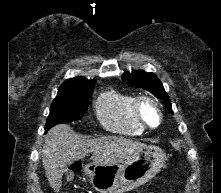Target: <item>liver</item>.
Masks as SVG:
<instances>
[{
  "instance_id": "6515ba94",
  "label": "liver",
  "mask_w": 221,
  "mask_h": 193,
  "mask_svg": "<svg viewBox=\"0 0 221 193\" xmlns=\"http://www.w3.org/2000/svg\"><path fill=\"white\" fill-rule=\"evenodd\" d=\"M146 145L124 137L107 136L83 139L67 124L49 130L42 149V164L52 189L59 192L65 167L92 153L94 164L115 165L123 163Z\"/></svg>"
}]
</instances>
